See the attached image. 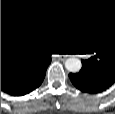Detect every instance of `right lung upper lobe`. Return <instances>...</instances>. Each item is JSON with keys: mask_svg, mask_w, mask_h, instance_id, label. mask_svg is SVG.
<instances>
[{"mask_svg": "<svg viewBox=\"0 0 115 114\" xmlns=\"http://www.w3.org/2000/svg\"><path fill=\"white\" fill-rule=\"evenodd\" d=\"M46 59L44 55L29 53L18 35L1 34V76L5 73L20 74Z\"/></svg>", "mask_w": 115, "mask_h": 114, "instance_id": "obj_1", "label": "right lung upper lobe"}]
</instances>
